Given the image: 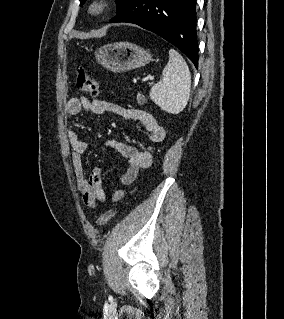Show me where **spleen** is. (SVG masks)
<instances>
[{
  "instance_id": "1",
  "label": "spleen",
  "mask_w": 284,
  "mask_h": 319,
  "mask_svg": "<svg viewBox=\"0 0 284 319\" xmlns=\"http://www.w3.org/2000/svg\"><path fill=\"white\" fill-rule=\"evenodd\" d=\"M190 85V71L185 60L177 51L170 49L162 79L151 88L149 95L162 110L178 114L188 103Z\"/></svg>"
}]
</instances>
